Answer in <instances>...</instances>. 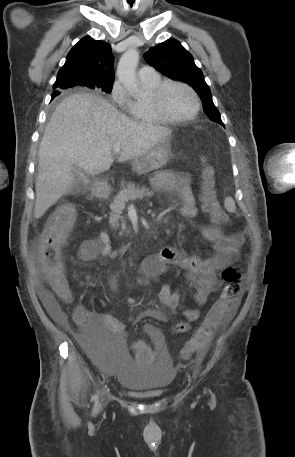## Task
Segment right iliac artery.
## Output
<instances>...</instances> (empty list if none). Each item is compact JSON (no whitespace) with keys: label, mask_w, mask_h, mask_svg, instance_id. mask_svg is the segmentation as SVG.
Instances as JSON below:
<instances>
[{"label":"right iliac artery","mask_w":295,"mask_h":457,"mask_svg":"<svg viewBox=\"0 0 295 457\" xmlns=\"http://www.w3.org/2000/svg\"><path fill=\"white\" fill-rule=\"evenodd\" d=\"M93 400H95V402H97V401H98V396L95 395V396L93 397Z\"/></svg>","instance_id":"82829eb1"}]
</instances>
